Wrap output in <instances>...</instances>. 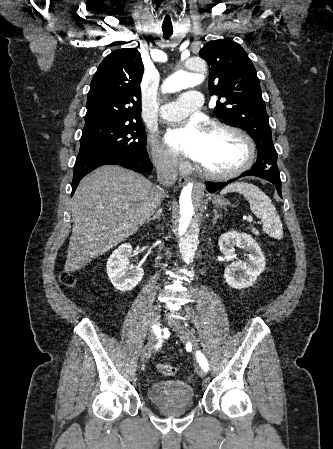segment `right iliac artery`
Here are the masks:
<instances>
[{"mask_svg": "<svg viewBox=\"0 0 333 449\" xmlns=\"http://www.w3.org/2000/svg\"><path fill=\"white\" fill-rule=\"evenodd\" d=\"M153 331L156 332L157 334H159L160 329H159V327L155 326V327H153ZM159 347H160V343L156 345V349H158Z\"/></svg>", "mask_w": 333, "mask_h": 449, "instance_id": "right-iliac-artery-1", "label": "right iliac artery"}]
</instances>
